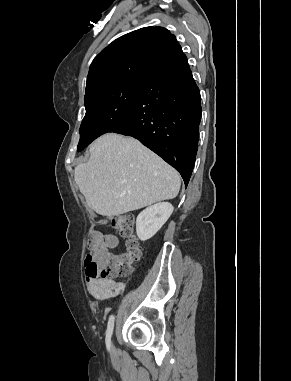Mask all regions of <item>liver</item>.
Here are the masks:
<instances>
[{
  "label": "liver",
  "mask_w": 291,
  "mask_h": 381,
  "mask_svg": "<svg viewBox=\"0 0 291 381\" xmlns=\"http://www.w3.org/2000/svg\"><path fill=\"white\" fill-rule=\"evenodd\" d=\"M74 179L87 205L103 216H117L175 198L178 172L132 137L115 133L96 139Z\"/></svg>",
  "instance_id": "1"
}]
</instances>
